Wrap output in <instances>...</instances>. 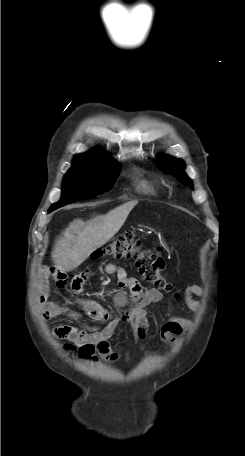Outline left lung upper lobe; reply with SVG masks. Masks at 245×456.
<instances>
[{"label":"left lung upper lobe","mask_w":245,"mask_h":456,"mask_svg":"<svg viewBox=\"0 0 245 456\" xmlns=\"http://www.w3.org/2000/svg\"><path fill=\"white\" fill-rule=\"evenodd\" d=\"M159 162L164 173H170L182 183L189 185L190 188L193 187L191 179L183 172L185 169L183 161L171 157H164L160 158Z\"/></svg>","instance_id":"1"}]
</instances>
